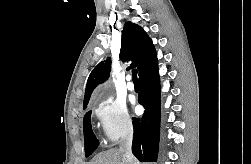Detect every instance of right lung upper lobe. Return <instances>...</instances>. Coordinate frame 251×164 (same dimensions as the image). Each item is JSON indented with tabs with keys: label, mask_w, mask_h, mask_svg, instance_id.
Segmentation results:
<instances>
[{
	"label": "right lung upper lobe",
	"mask_w": 251,
	"mask_h": 164,
	"mask_svg": "<svg viewBox=\"0 0 251 164\" xmlns=\"http://www.w3.org/2000/svg\"><path fill=\"white\" fill-rule=\"evenodd\" d=\"M120 60H132L130 68L137 67L139 77L147 70L157 65V56L152 40L146 32L132 22H126L122 31ZM111 70V60L99 63L91 72L84 96L83 106H87L94 88L104 82Z\"/></svg>",
	"instance_id": "cb5924a9"
}]
</instances>
